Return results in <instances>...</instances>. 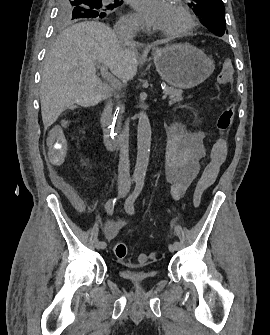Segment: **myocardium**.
<instances>
[{
    "label": "myocardium",
    "mask_w": 270,
    "mask_h": 335,
    "mask_svg": "<svg viewBox=\"0 0 270 335\" xmlns=\"http://www.w3.org/2000/svg\"><path fill=\"white\" fill-rule=\"evenodd\" d=\"M177 13L183 18L184 24L176 30V35H185L189 33L195 26L196 18L185 8L179 7Z\"/></svg>",
    "instance_id": "obj_1"
}]
</instances>
